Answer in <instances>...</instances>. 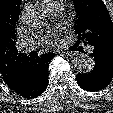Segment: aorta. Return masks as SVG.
Returning a JSON list of instances; mask_svg holds the SVG:
<instances>
[{
	"label": "aorta",
	"mask_w": 113,
	"mask_h": 113,
	"mask_svg": "<svg viewBox=\"0 0 113 113\" xmlns=\"http://www.w3.org/2000/svg\"><path fill=\"white\" fill-rule=\"evenodd\" d=\"M37 13L33 10H27L24 12V17L29 19H36ZM95 65L94 58L84 53H80L73 59L74 69L81 74L89 73L93 70Z\"/></svg>",
	"instance_id": "obj_1"
}]
</instances>
